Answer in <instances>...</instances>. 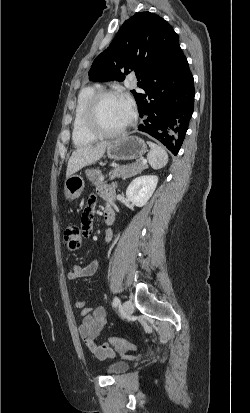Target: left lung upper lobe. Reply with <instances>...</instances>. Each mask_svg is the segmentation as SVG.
Listing matches in <instances>:
<instances>
[{
    "instance_id": "5c2ea615",
    "label": "left lung upper lobe",
    "mask_w": 250,
    "mask_h": 413,
    "mask_svg": "<svg viewBox=\"0 0 250 413\" xmlns=\"http://www.w3.org/2000/svg\"><path fill=\"white\" fill-rule=\"evenodd\" d=\"M178 36L161 17L140 12L124 22L109 47L94 60L89 71L92 81H123L135 71L138 86L160 67L161 39ZM134 97L137 92L132 91Z\"/></svg>"
}]
</instances>
